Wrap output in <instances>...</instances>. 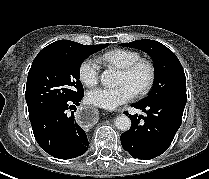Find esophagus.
<instances>
[{
	"instance_id": "34e87169",
	"label": "esophagus",
	"mask_w": 209,
	"mask_h": 179,
	"mask_svg": "<svg viewBox=\"0 0 209 179\" xmlns=\"http://www.w3.org/2000/svg\"><path fill=\"white\" fill-rule=\"evenodd\" d=\"M75 119L81 127L89 128L97 122L98 114L92 106H81L76 111Z\"/></svg>"
}]
</instances>
